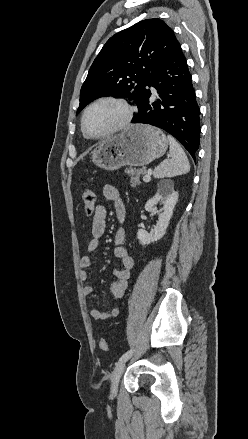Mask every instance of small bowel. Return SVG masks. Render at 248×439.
I'll return each mask as SVG.
<instances>
[{"mask_svg": "<svg viewBox=\"0 0 248 439\" xmlns=\"http://www.w3.org/2000/svg\"><path fill=\"white\" fill-rule=\"evenodd\" d=\"M104 197L113 203L116 216L119 222H124L126 218V207L121 198L119 191L112 185H106L103 188ZM106 209L103 205H97L94 211L92 223H91V239L88 241L86 246V251L88 253L95 252L100 243V239L106 230ZM126 238V231L124 228H119L114 235V256L120 262L121 267L115 268L113 270V275L116 280L111 284V298L112 300L121 299L126 289L128 288L129 279L131 275V270L134 267V260L129 255L127 248L124 246ZM91 259L88 255H84L80 258L79 266L80 272L79 277L82 282L88 280L87 269L91 266ZM93 292V288L89 284H84L82 287V294L84 296H89ZM120 313V308L118 306H113L110 311H101L100 309L93 308L90 311V315L95 320H108L110 318L118 316Z\"/></svg>", "mask_w": 248, "mask_h": 439, "instance_id": "1", "label": "small bowel"}]
</instances>
